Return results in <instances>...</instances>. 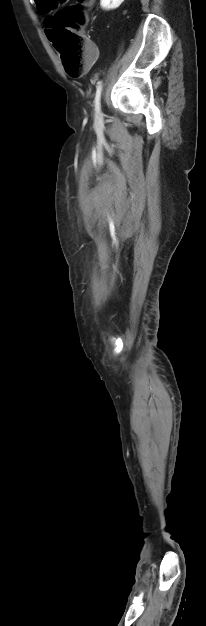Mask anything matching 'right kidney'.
Listing matches in <instances>:
<instances>
[{"label":"right kidney","mask_w":206,"mask_h":626,"mask_svg":"<svg viewBox=\"0 0 206 626\" xmlns=\"http://www.w3.org/2000/svg\"><path fill=\"white\" fill-rule=\"evenodd\" d=\"M124 0H100V5L103 10L110 11L118 8Z\"/></svg>","instance_id":"ca27d5eb"}]
</instances>
